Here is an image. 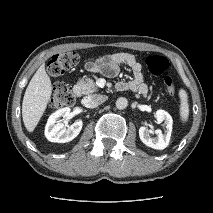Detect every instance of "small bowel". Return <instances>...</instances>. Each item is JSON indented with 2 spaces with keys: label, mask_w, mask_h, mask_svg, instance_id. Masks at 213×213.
I'll return each instance as SVG.
<instances>
[{
  "label": "small bowel",
  "mask_w": 213,
  "mask_h": 213,
  "mask_svg": "<svg viewBox=\"0 0 213 213\" xmlns=\"http://www.w3.org/2000/svg\"><path fill=\"white\" fill-rule=\"evenodd\" d=\"M122 65H127L133 72V78L129 81H120L117 83V89L121 91L130 90L142 96L147 95L148 86L144 81L142 66L130 53H116L96 61H89L85 64L88 71L100 72L106 76L113 77L117 75Z\"/></svg>",
  "instance_id": "c3829d8e"
}]
</instances>
